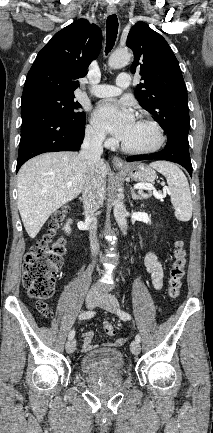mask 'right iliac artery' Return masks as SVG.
Returning <instances> with one entry per match:
<instances>
[{"mask_svg":"<svg viewBox=\"0 0 213 433\" xmlns=\"http://www.w3.org/2000/svg\"><path fill=\"white\" fill-rule=\"evenodd\" d=\"M94 315H95V312H94V311H86V312H83V313L80 314V316H79V320L89 319V318H92ZM74 335H75V331H74V329H73V330H71V331L69 332V334H68V338H69V339H73V338H74Z\"/></svg>","mask_w":213,"mask_h":433,"instance_id":"obj_1","label":"right iliac artery"}]
</instances>
